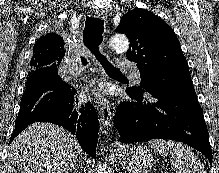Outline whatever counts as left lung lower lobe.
<instances>
[{
	"label": "left lung lower lobe",
	"instance_id": "left-lung-lower-lobe-1",
	"mask_svg": "<svg viewBox=\"0 0 219 173\" xmlns=\"http://www.w3.org/2000/svg\"><path fill=\"white\" fill-rule=\"evenodd\" d=\"M126 92L135 101H122L114 117L122 143L177 140L200 151L212 164L208 130L193 86L148 92V98L131 88Z\"/></svg>",
	"mask_w": 219,
	"mask_h": 173
}]
</instances>
